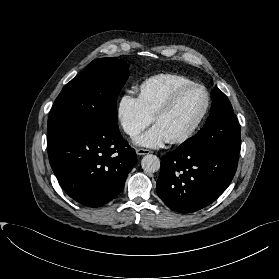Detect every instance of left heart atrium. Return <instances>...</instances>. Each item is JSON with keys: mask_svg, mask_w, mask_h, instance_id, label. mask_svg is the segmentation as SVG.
<instances>
[{"mask_svg": "<svg viewBox=\"0 0 279 279\" xmlns=\"http://www.w3.org/2000/svg\"><path fill=\"white\" fill-rule=\"evenodd\" d=\"M169 140L166 133L159 125H154L150 130L135 139V143L150 148H159Z\"/></svg>", "mask_w": 279, "mask_h": 279, "instance_id": "obj_1", "label": "left heart atrium"}]
</instances>
